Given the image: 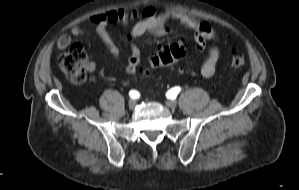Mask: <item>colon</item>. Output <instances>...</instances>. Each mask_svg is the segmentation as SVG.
Listing matches in <instances>:
<instances>
[{
  "label": "colon",
  "instance_id": "5ec220e1",
  "mask_svg": "<svg viewBox=\"0 0 299 190\" xmlns=\"http://www.w3.org/2000/svg\"><path fill=\"white\" fill-rule=\"evenodd\" d=\"M186 53L185 46L180 42H173L163 48L150 59L149 66L143 68V72L149 69L170 67L178 63ZM230 65L233 68L242 67L246 58L244 53L231 48ZM59 65L67 78L75 84H81L86 79L87 57L84 48L79 44H73L59 59Z\"/></svg>",
  "mask_w": 299,
  "mask_h": 190
}]
</instances>
